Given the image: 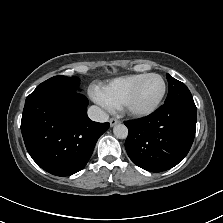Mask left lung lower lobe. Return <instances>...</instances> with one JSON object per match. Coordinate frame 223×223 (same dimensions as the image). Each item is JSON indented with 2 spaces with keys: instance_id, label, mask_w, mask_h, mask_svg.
<instances>
[{
  "instance_id": "left-lung-lower-lobe-1",
  "label": "left lung lower lobe",
  "mask_w": 223,
  "mask_h": 223,
  "mask_svg": "<svg viewBox=\"0 0 223 223\" xmlns=\"http://www.w3.org/2000/svg\"><path fill=\"white\" fill-rule=\"evenodd\" d=\"M194 102L165 103L147 117L125 121V148L137 166L161 172L176 166L189 152L196 131Z\"/></svg>"
}]
</instances>
